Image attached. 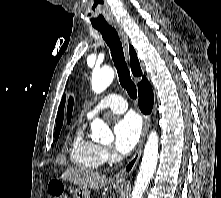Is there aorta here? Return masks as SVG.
<instances>
[{
    "instance_id": "aorta-1",
    "label": "aorta",
    "mask_w": 221,
    "mask_h": 198,
    "mask_svg": "<svg viewBox=\"0 0 221 198\" xmlns=\"http://www.w3.org/2000/svg\"><path fill=\"white\" fill-rule=\"evenodd\" d=\"M114 76L115 73L112 68L95 69L91 78L92 90L95 93L103 92L112 83ZM91 131L95 140L106 141L113 138L108 125L98 118L91 123ZM158 142V134L156 131H151L145 144L140 170L132 191V198H142L143 192L153 177L159 158Z\"/></svg>"
}]
</instances>
